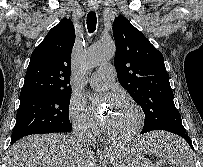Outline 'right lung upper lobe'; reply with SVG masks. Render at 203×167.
Wrapping results in <instances>:
<instances>
[{"label": "right lung upper lobe", "instance_id": "obj_1", "mask_svg": "<svg viewBox=\"0 0 203 167\" xmlns=\"http://www.w3.org/2000/svg\"><path fill=\"white\" fill-rule=\"evenodd\" d=\"M75 30L63 18L33 51L20 93V101L40 95L71 92V52Z\"/></svg>", "mask_w": 203, "mask_h": 167}]
</instances>
